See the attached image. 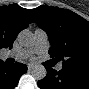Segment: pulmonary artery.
<instances>
[{"label":"pulmonary artery","instance_id":"obj_1","mask_svg":"<svg viewBox=\"0 0 89 89\" xmlns=\"http://www.w3.org/2000/svg\"><path fill=\"white\" fill-rule=\"evenodd\" d=\"M35 39V49L36 50H43L47 47V34L43 30H36L34 33ZM61 68V65L58 66Z\"/></svg>","mask_w":89,"mask_h":89}]
</instances>
